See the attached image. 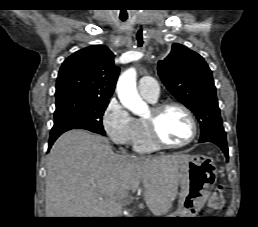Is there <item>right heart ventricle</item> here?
I'll return each instance as SVG.
<instances>
[{"instance_id":"obj_1","label":"right heart ventricle","mask_w":258,"mask_h":227,"mask_svg":"<svg viewBox=\"0 0 258 227\" xmlns=\"http://www.w3.org/2000/svg\"><path fill=\"white\" fill-rule=\"evenodd\" d=\"M139 132L133 142L135 151L139 153H150L157 149L153 143L144 119H138Z\"/></svg>"}]
</instances>
